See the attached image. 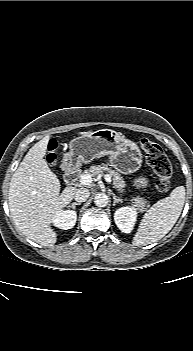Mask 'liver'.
<instances>
[{"instance_id":"liver-1","label":"liver","mask_w":193,"mask_h":351,"mask_svg":"<svg viewBox=\"0 0 193 351\" xmlns=\"http://www.w3.org/2000/svg\"><path fill=\"white\" fill-rule=\"evenodd\" d=\"M49 140L50 136H45L29 149L12 175L8 193L15 225L27 238L43 246L56 243L57 234L51 227L53 216L72 201L77 190L66 187L60 193V181L44 159Z\"/></svg>"}]
</instances>
